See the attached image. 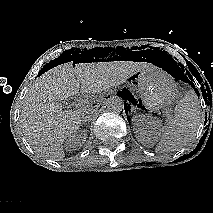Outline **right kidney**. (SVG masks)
Wrapping results in <instances>:
<instances>
[{"instance_id": "1", "label": "right kidney", "mask_w": 213, "mask_h": 213, "mask_svg": "<svg viewBox=\"0 0 213 213\" xmlns=\"http://www.w3.org/2000/svg\"><path fill=\"white\" fill-rule=\"evenodd\" d=\"M86 141V132L83 131L81 133H75L72 136H70L69 139H67L66 143H67V148L69 150H75V149H79L83 146V144Z\"/></svg>"}]
</instances>
